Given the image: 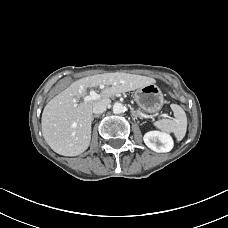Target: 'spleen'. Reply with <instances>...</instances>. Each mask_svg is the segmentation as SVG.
<instances>
[{
    "mask_svg": "<svg viewBox=\"0 0 228 228\" xmlns=\"http://www.w3.org/2000/svg\"><path fill=\"white\" fill-rule=\"evenodd\" d=\"M171 109L175 118L161 119L154 123L155 127L163 132L173 133L178 141L182 140L187 130V117L185 111L177 104H172Z\"/></svg>",
    "mask_w": 228,
    "mask_h": 228,
    "instance_id": "3e777b00",
    "label": "spleen"
}]
</instances>
